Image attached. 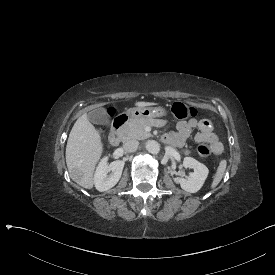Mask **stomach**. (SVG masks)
Instances as JSON below:
<instances>
[{
  "instance_id": "obj_1",
  "label": "stomach",
  "mask_w": 275,
  "mask_h": 275,
  "mask_svg": "<svg viewBox=\"0 0 275 275\" xmlns=\"http://www.w3.org/2000/svg\"><path fill=\"white\" fill-rule=\"evenodd\" d=\"M126 114L131 120H146L167 116L168 111L163 106L135 107L126 110Z\"/></svg>"
}]
</instances>
